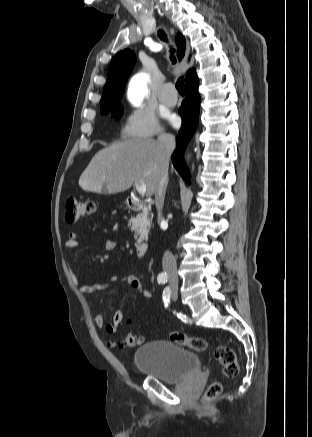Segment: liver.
<instances>
[{
  "instance_id": "6515ba94",
  "label": "liver",
  "mask_w": 312,
  "mask_h": 437,
  "mask_svg": "<svg viewBox=\"0 0 312 437\" xmlns=\"http://www.w3.org/2000/svg\"><path fill=\"white\" fill-rule=\"evenodd\" d=\"M162 167L158 141L129 139L97 152L81 174L79 185L87 192L115 194L140 180L146 185V195L151 197Z\"/></svg>"
}]
</instances>
